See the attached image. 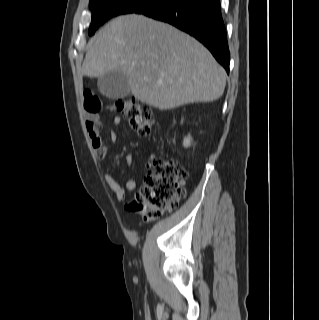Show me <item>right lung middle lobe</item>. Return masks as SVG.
I'll use <instances>...</instances> for the list:
<instances>
[{
    "label": "right lung middle lobe",
    "mask_w": 319,
    "mask_h": 320,
    "mask_svg": "<svg viewBox=\"0 0 319 320\" xmlns=\"http://www.w3.org/2000/svg\"><path fill=\"white\" fill-rule=\"evenodd\" d=\"M163 1L165 0H90L92 21L88 33L93 35L101 24L113 16L137 13Z\"/></svg>",
    "instance_id": "right-lung-middle-lobe-1"
}]
</instances>
